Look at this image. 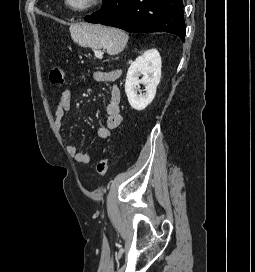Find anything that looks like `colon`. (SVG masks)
<instances>
[{
  "instance_id": "1",
  "label": "colon",
  "mask_w": 255,
  "mask_h": 272,
  "mask_svg": "<svg viewBox=\"0 0 255 272\" xmlns=\"http://www.w3.org/2000/svg\"><path fill=\"white\" fill-rule=\"evenodd\" d=\"M49 78L54 85H63L65 82L64 72L59 66H54L50 70ZM108 171V158H101L96 164V173L99 176H105Z\"/></svg>"
}]
</instances>
